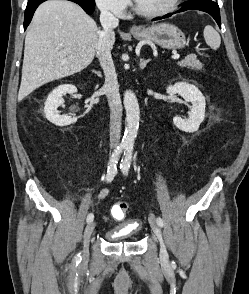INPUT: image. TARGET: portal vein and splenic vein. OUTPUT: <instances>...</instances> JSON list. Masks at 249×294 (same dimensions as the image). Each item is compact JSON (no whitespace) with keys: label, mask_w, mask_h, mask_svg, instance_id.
Here are the masks:
<instances>
[{"label":"portal vein and splenic vein","mask_w":249,"mask_h":294,"mask_svg":"<svg viewBox=\"0 0 249 294\" xmlns=\"http://www.w3.org/2000/svg\"><path fill=\"white\" fill-rule=\"evenodd\" d=\"M172 58L177 60V59L180 58V55L179 54H175V55L172 56Z\"/></svg>","instance_id":"portal-vein-and-splenic-vein-1"}]
</instances>
